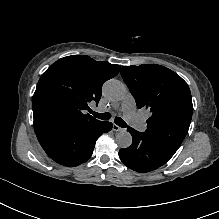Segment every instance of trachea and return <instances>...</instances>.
<instances>
[{
	"instance_id": "trachea-1",
	"label": "trachea",
	"mask_w": 219,
	"mask_h": 219,
	"mask_svg": "<svg viewBox=\"0 0 219 219\" xmlns=\"http://www.w3.org/2000/svg\"><path fill=\"white\" fill-rule=\"evenodd\" d=\"M90 113L93 116H95L96 118L101 119V120H109L110 119L109 113H97V112H94L92 110H90ZM114 122L121 128H126L128 126L121 118H116Z\"/></svg>"
}]
</instances>
